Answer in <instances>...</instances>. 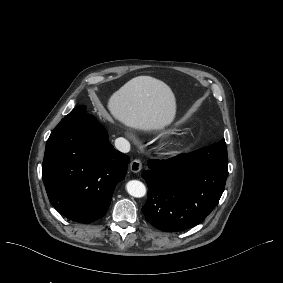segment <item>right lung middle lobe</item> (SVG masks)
<instances>
[{"label": "right lung middle lobe", "mask_w": 283, "mask_h": 283, "mask_svg": "<svg viewBox=\"0 0 283 283\" xmlns=\"http://www.w3.org/2000/svg\"><path fill=\"white\" fill-rule=\"evenodd\" d=\"M84 109L85 107L83 106H78L76 108H74L67 116H65L64 118H67V117H71V116H74V115H78V114H86L84 112Z\"/></svg>", "instance_id": "1"}]
</instances>
